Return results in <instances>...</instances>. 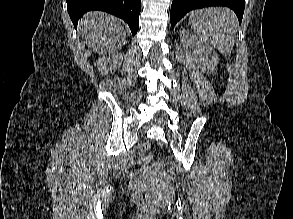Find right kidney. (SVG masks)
Instances as JSON below:
<instances>
[{"mask_svg": "<svg viewBox=\"0 0 293 219\" xmlns=\"http://www.w3.org/2000/svg\"><path fill=\"white\" fill-rule=\"evenodd\" d=\"M121 57L116 53H110L109 55L99 58L95 62V67L101 74H108V72L115 71L120 65Z\"/></svg>", "mask_w": 293, "mask_h": 219, "instance_id": "1", "label": "right kidney"}]
</instances>
